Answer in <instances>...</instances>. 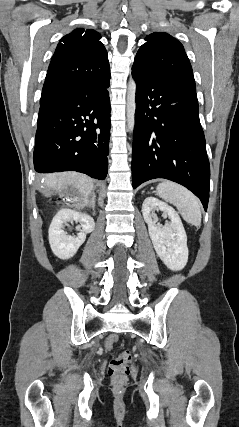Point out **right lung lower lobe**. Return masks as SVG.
Wrapping results in <instances>:
<instances>
[{
    "label": "right lung lower lobe",
    "mask_w": 239,
    "mask_h": 427,
    "mask_svg": "<svg viewBox=\"0 0 239 427\" xmlns=\"http://www.w3.org/2000/svg\"><path fill=\"white\" fill-rule=\"evenodd\" d=\"M109 83L110 74L94 82L69 83L42 95L33 155L37 172L74 170L106 178Z\"/></svg>",
    "instance_id": "1"
}]
</instances>
